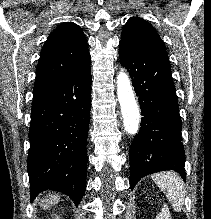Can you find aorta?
Returning a JSON list of instances; mask_svg holds the SVG:
<instances>
[{"label": "aorta", "mask_w": 211, "mask_h": 219, "mask_svg": "<svg viewBox=\"0 0 211 219\" xmlns=\"http://www.w3.org/2000/svg\"><path fill=\"white\" fill-rule=\"evenodd\" d=\"M117 96L122 112L124 129L128 134L134 135L139 130L140 111L129 76L124 69L120 71L117 77Z\"/></svg>", "instance_id": "obj_1"}]
</instances>
